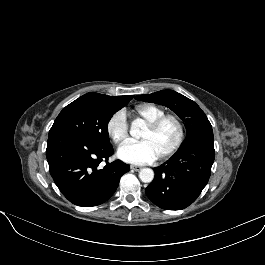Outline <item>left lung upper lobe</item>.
<instances>
[{
    "mask_svg": "<svg viewBox=\"0 0 265 265\" xmlns=\"http://www.w3.org/2000/svg\"><path fill=\"white\" fill-rule=\"evenodd\" d=\"M135 99L160 104L174 111L185 122L187 138L202 129L212 128L205 113L194 101L173 90L138 95Z\"/></svg>",
    "mask_w": 265,
    "mask_h": 265,
    "instance_id": "obj_1",
    "label": "left lung upper lobe"
}]
</instances>
